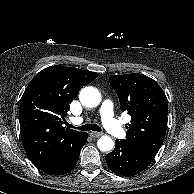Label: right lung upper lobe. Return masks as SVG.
<instances>
[{"instance_id": "cb5924a9", "label": "right lung upper lobe", "mask_w": 194, "mask_h": 194, "mask_svg": "<svg viewBox=\"0 0 194 194\" xmlns=\"http://www.w3.org/2000/svg\"><path fill=\"white\" fill-rule=\"evenodd\" d=\"M98 73L74 67L50 66L25 89L19 108L20 133L28 158L37 167L51 164L84 132L62 126L69 103Z\"/></svg>"}]
</instances>
